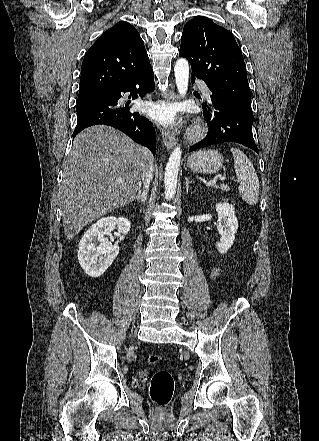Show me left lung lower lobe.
I'll return each mask as SVG.
<instances>
[{"label": "left lung lower lobe", "instance_id": "left-lung-lower-lobe-1", "mask_svg": "<svg viewBox=\"0 0 319 441\" xmlns=\"http://www.w3.org/2000/svg\"><path fill=\"white\" fill-rule=\"evenodd\" d=\"M194 80L195 77L191 76V81ZM202 105L209 133L199 143L192 145L189 152L214 144L236 142L259 153L252 134L253 114L212 95L210 104Z\"/></svg>", "mask_w": 319, "mask_h": 441}]
</instances>
